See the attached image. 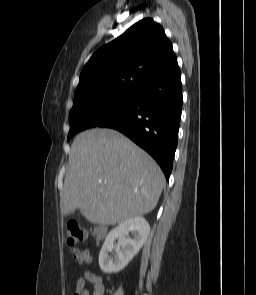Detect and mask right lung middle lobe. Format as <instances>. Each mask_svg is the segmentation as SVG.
Returning a JSON list of instances; mask_svg holds the SVG:
<instances>
[{
    "instance_id": "dd1d6c3e",
    "label": "right lung middle lobe",
    "mask_w": 256,
    "mask_h": 295,
    "mask_svg": "<svg viewBox=\"0 0 256 295\" xmlns=\"http://www.w3.org/2000/svg\"><path fill=\"white\" fill-rule=\"evenodd\" d=\"M134 101L135 92L91 101L74 100L73 108L69 114L68 140L74 134L87 129L85 120L89 118L93 120L113 118L130 108Z\"/></svg>"
}]
</instances>
